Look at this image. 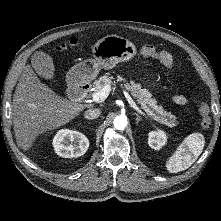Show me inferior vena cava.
<instances>
[{
  "instance_id": "1",
  "label": "inferior vena cava",
  "mask_w": 221,
  "mask_h": 221,
  "mask_svg": "<svg viewBox=\"0 0 221 221\" xmlns=\"http://www.w3.org/2000/svg\"><path fill=\"white\" fill-rule=\"evenodd\" d=\"M101 111L98 108H90L84 113V117L89 120L96 119L100 116Z\"/></svg>"
}]
</instances>
